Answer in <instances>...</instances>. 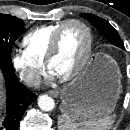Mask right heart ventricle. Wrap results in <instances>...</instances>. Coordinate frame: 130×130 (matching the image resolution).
Returning a JSON list of instances; mask_svg holds the SVG:
<instances>
[{"instance_id": "right-heart-ventricle-1", "label": "right heart ventricle", "mask_w": 130, "mask_h": 130, "mask_svg": "<svg viewBox=\"0 0 130 130\" xmlns=\"http://www.w3.org/2000/svg\"><path fill=\"white\" fill-rule=\"evenodd\" d=\"M62 23L39 26L24 36L23 45L35 60L44 63L52 37Z\"/></svg>"}]
</instances>
